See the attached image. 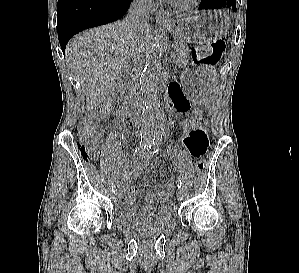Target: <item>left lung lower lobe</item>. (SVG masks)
I'll return each mask as SVG.
<instances>
[{
	"label": "left lung lower lobe",
	"instance_id": "0a47b994",
	"mask_svg": "<svg viewBox=\"0 0 299 273\" xmlns=\"http://www.w3.org/2000/svg\"><path fill=\"white\" fill-rule=\"evenodd\" d=\"M222 7H231L236 11V0H202L200 9H217Z\"/></svg>",
	"mask_w": 299,
	"mask_h": 273
}]
</instances>
